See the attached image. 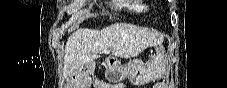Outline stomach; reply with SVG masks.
<instances>
[{"label": "stomach", "mask_w": 227, "mask_h": 88, "mask_svg": "<svg viewBox=\"0 0 227 88\" xmlns=\"http://www.w3.org/2000/svg\"><path fill=\"white\" fill-rule=\"evenodd\" d=\"M167 70V56L163 47H156V54L147 62L133 60L122 65L115 57L106 59V73L112 82L129 78L134 85H143L162 77Z\"/></svg>", "instance_id": "stomach-1"}]
</instances>
